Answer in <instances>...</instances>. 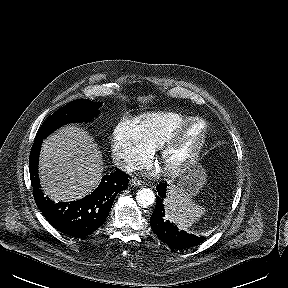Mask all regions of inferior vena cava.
Listing matches in <instances>:
<instances>
[{"label": "inferior vena cava", "mask_w": 288, "mask_h": 288, "mask_svg": "<svg viewBox=\"0 0 288 288\" xmlns=\"http://www.w3.org/2000/svg\"><path fill=\"white\" fill-rule=\"evenodd\" d=\"M114 163L117 166V168L127 173L133 172L137 169L136 163L130 159H124V160L119 159L115 160Z\"/></svg>", "instance_id": "obj_1"}]
</instances>
